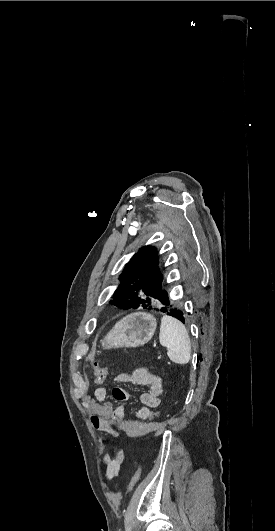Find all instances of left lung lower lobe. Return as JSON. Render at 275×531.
I'll return each instance as SVG.
<instances>
[{
  "label": "left lung lower lobe",
  "mask_w": 275,
  "mask_h": 531,
  "mask_svg": "<svg viewBox=\"0 0 275 531\" xmlns=\"http://www.w3.org/2000/svg\"><path fill=\"white\" fill-rule=\"evenodd\" d=\"M162 312L166 313L167 315H170L172 317H175L176 319L180 320L184 323V314L181 310V308L178 306L167 309L166 307L161 310Z\"/></svg>",
  "instance_id": "obj_1"
}]
</instances>
